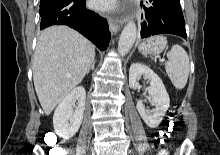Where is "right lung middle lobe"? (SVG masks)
Instances as JSON below:
<instances>
[{"mask_svg":"<svg viewBox=\"0 0 220 155\" xmlns=\"http://www.w3.org/2000/svg\"><path fill=\"white\" fill-rule=\"evenodd\" d=\"M53 1H55V0H40V6L46 5V4L53 2Z\"/></svg>","mask_w":220,"mask_h":155,"instance_id":"1","label":"right lung middle lobe"}]
</instances>
